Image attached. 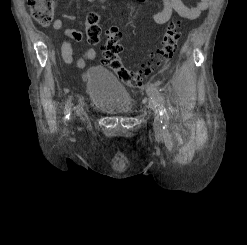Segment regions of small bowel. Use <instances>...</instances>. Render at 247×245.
Instances as JSON below:
<instances>
[{
  "mask_svg": "<svg viewBox=\"0 0 247 245\" xmlns=\"http://www.w3.org/2000/svg\"><path fill=\"white\" fill-rule=\"evenodd\" d=\"M89 2L99 0H88ZM144 2L145 0H138ZM210 0H199L194 6L188 7L182 0H163V7L160 11L153 14L152 19L156 24L168 23L174 14H178L180 17L187 20H194L198 18L202 12L209 7ZM63 19L73 21L75 16L71 14H64ZM63 19H56L53 23V28L56 31H60L66 37L81 42L84 38L83 32L80 30L68 28ZM109 33L116 34L117 37H121V33L116 27H112ZM61 56L65 63L70 64L73 62V48L69 41L63 40L61 43ZM96 52L92 48H88L83 51L81 56L76 60V66L78 68H84L88 61L95 58Z\"/></svg>",
  "mask_w": 247,
  "mask_h": 245,
  "instance_id": "small-bowel-1",
  "label": "small bowel"
}]
</instances>
